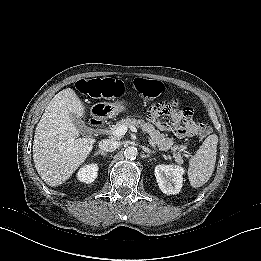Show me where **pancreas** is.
Segmentation results:
<instances>
[{
	"label": "pancreas",
	"instance_id": "1",
	"mask_svg": "<svg viewBox=\"0 0 261 261\" xmlns=\"http://www.w3.org/2000/svg\"><path fill=\"white\" fill-rule=\"evenodd\" d=\"M117 125H126L128 127L134 126L137 128H141L143 132L148 133L150 140L154 143V147H157L159 150L168 151L171 149L173 151V155L176 162H180L181 158L179 153L177 154V148L172 146V140L166 138L164 134H161L155 127L145 122L142 119H136L133 117H126L120 120Z\"/></svg>",
	"mask_w": 261,
	"mask_h": 261
}]
</instances>
